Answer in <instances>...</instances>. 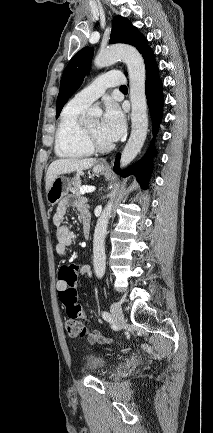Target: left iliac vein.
<instances>
[{"label": "left iliac vein", "mask_w": 213, "mask_h": 433, "mask_svg": "<svg viewBox=\"0 0 213 433\" xmlns=\"http://www.w3.org/2000/svg\"><path fill=\"white\" fill-rule=\"evenodd\" d=\"M110 312L112 319L118 326H122L124 324V315L122 312L121 305L119 303H113L110 307Z\"/></svg>", "instance_id": "4c4485c4"}]
</instances>
